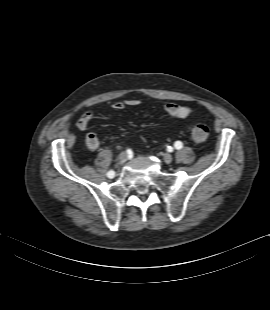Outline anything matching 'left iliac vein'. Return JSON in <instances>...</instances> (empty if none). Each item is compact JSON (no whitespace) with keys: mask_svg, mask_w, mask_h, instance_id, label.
<instances>
[{"mask_svg":"<svg viewBox=\"0 0 270 310\" xmlns=\"http://www.w3.org/2000/svg\"><path fill=\"white\" fill-rule=\"evenodd\" d=\"M163 159H164L165 163H167V164H169V163L172 162V156H171V154H169V153H165V154L163 155Z\"/></svg>","mask_w":270,"mask_h":310,"instance_id":"1","label":"left iliac vein"}]
</instances>
